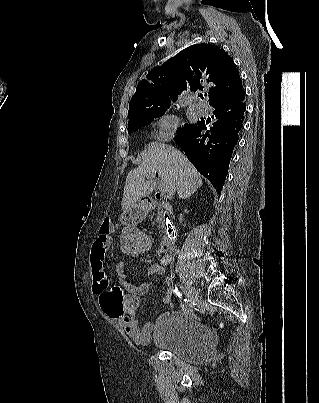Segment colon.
Here are the masks:
<instances>
[{
    "mask_svg": "<svg viewBox=\"0 0 319 403\" xmlns=\"http://www.w3.org/2000/svg\"><path fill=\"white\" fill-rule=\"evenodd\" d=\"M144 226H125L121 230L120 241L117 245L120 253L125 254L126 260H139L140 254H151L153 241L150 234H144Z\"/></svg>",
    "mask_w": 319,
    "mask_h": 403,
    "instance_id": "1",
    "label": "colon"
}]
</instances>
